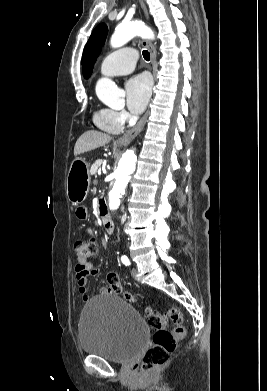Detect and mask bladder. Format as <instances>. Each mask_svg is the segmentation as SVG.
Instances as JSON below:
<instances>
[{"label":"bladder","instance_id":"31cf9c89","mask_svg":"<svg viewBox=\"0 0 267 391\" xmlns=\"http://www.w3.org/2000/svg\"><path fill=\"white\" fill-rule=\"evenodd\" d=\"M79 341L84 353L116 363L133 360L147 341L146 324L123 298L107 295L82 310Z\"/></svg>","mask_w":267,"mask_h":391}]
</instances>
